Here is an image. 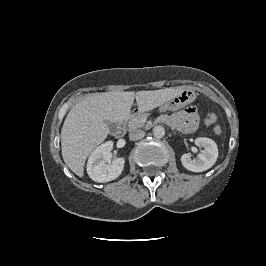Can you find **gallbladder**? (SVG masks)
I'll return each mask as SVG.
<instances>
[{
    "mask_svg": "<svg viewBox=\"0 0 266 266\" xmlns=\"http://www.w3.org/2000/svg\"><path fill=\"white\" fill-rule=\"evenodd\" d=\"M108 126H109V128L111 129V130H116V128H117V126H116V124L115 123H108Z\"/></svg>",
    "mask_w": 266,
    "mask_h": 266,
    "instance_id": "bac80fb5",
    "label": "gallbladder"
}]
</instances>
